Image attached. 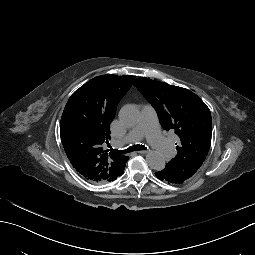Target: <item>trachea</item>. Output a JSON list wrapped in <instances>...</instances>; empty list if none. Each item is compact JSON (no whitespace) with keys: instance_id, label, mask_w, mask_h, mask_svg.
I'll use <instances>...</instances> for the list:
<instances>
[{"instance_id":"1","label":"trachea","mask_w":255,"mask_h":255,"mask_svg":"<svg viewBox=\"0 0 255 255\" xmlns=\"http://www.w3.org/2000/svg\"><path fill=\"white\" fill-rule=\"evenodd\" d=\"M136 150L137 151L138 150H147V148L143 145H140V144L130 146L129 148H127L125 150H116V149L111 148V151L116 153V154H127V153H130V152L136 151Z\"/></svg>"}]
</instances>
